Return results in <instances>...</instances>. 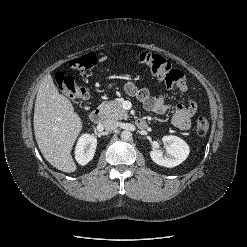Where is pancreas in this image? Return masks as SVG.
<instances>
[{
	"instance_id": "pancreas-1",
	"label": "pancreas",
	"mask_w": 247,
	"mask_h": 247,
	"mask_svg": "<svg viewBox=\"0 0 247 247\" xmlns=\"http://www.w3.org/2000/svg\"><path fill=\"white\" fill-rule=\"evenodd\" d=\"M98 108L109 118L121 120L128 117L127 111L123 109L122 103L119 100L102 102Z\"/></svg>"
}]
</instances>
